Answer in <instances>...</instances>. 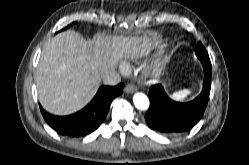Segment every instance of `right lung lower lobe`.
Wrapping results in <instances>:
<instances>
[{
  "label": "right lung lower lobe",
  "mask_w": 249,
  "mask_h": 165,
  "mask_svg": "<svg viewBox=\"0 0 249 165\" xmlns=\"http://www.w3.org/2000/svg\"><path fill=\"white\" fill-rule=\"evenodd\" d=\"M124 84L117 86H101L92 101L82 110L69 116H55L40 110L51 128L57 133L69 137L86 136L95 131L104 121L110 104L123 92Z\"/></svg>",
  "instance_id": "obj_1"
}]
</instances>
